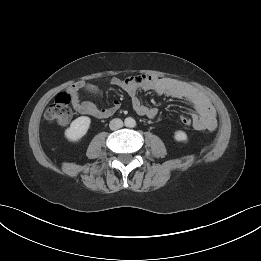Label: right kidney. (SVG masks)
<instances>
[{"label": "right kidney", "mask_w": 261, "mask_h": 261, "mask_svg": "<svg viewBox=\"0 0 261 261\" xmlns=\"http://www.w3.org/2000/svg\"><path fill=\"white\" fill-rule=\"evenodd\" d=\"M91 119L87 116L76 118L70 124V127L65 130V137L71 142L79 141L88 131Z\"/></svg>", "instance_id": "obj_1"}]
</instances>
